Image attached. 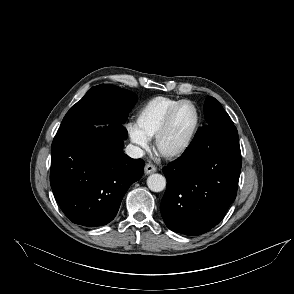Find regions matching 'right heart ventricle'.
Returning <instances> with one entry per match:
<instances>
[{
	"mask_svg": "<svg viewBox=\"0 0 294 294\" xmlns=\"http://www.w3.org/2000/svg\"><path fill=\"white\" fill-rule=\"evenodd\" d=\"M181 100L155 97L147 101L137 113L136 127L148 140L153 139L168 112Z\"/></svg>",
	"mask_w": 294,
	"mask_h": 294,
	"instance_id": "1",
	"label": "right heart ventricle"
}]
</instances>
